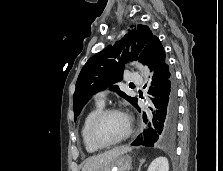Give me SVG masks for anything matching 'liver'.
Here are the masks:
<instances>
[{"label": "liver", "mask_w": 223, "mask_h": 171, "mask_svg": "<svg viewBox=\"0 0 223 171\" xmlns=\"http://www.w3.org/2000/svg\"><path fill=\"white\" fill-rule=\"evenodd\" d=\"M131 150L128 146L117 147L102 154L88 158L82 171H100L110 164L116 157Z\"/></svg>", "instance_id": "obj_1"}]
</instances>
